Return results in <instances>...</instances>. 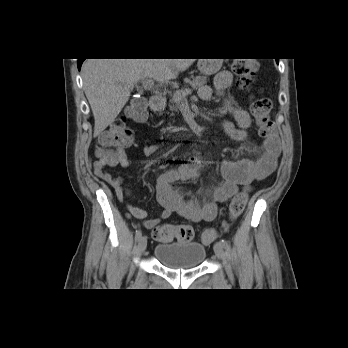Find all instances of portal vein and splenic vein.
<instances>
[{
	"label": "portal vein and splenic vein",
	"mask_w": 348,
	"mask_h": 348,
	"mask_svg": "<svg viewBox=\"0 0 348 348\" xmlns=\"http://www.w3.org/2000/svg\"><path fill=\"white\" fill-rule=\"evenodd\" d=\"M142 86L144 89H153L154 88V81L152 79H146L142 81ZM192 93V89L188 88L184 92L180 94V97H178V100L181 99V97H186V95H189Z\"/></svg>",
	"instance_id": "18ae733b"
}]
</instances>
